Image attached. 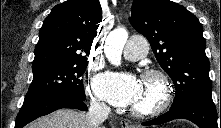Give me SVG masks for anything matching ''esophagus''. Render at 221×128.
I'll return each instance as SVG.
<instances>
[{"instance_id": "esophagus-1", "label": "esophagus", "mask_w": 221, "mask_h": 128, "mask_svg": "<svg viewBox=\"0 0 221 128\" xmlns=\"http://www.w3.org/2000/svg\"><path fill=\"white\" fill-rule=\"evenodd\" d=\"M124 126H125L126 128H128V127H129V124H128V123H124Z\"/></svg>"}]
</instances>
